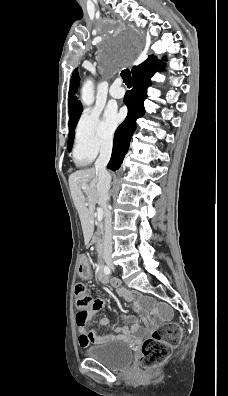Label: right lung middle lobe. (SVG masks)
<instances>
[{
  "label": "right lung middle lobe",
  "instance_id": "1",
  "mask_svg": "<svg viewBox=\"0 0 228 396\" xmlns=\"http://www.w3.org/2000/svg\"><path fill=\"white\" fill-rule=\"evenodd\" d=\"M81 112L80 111H76L73 114H69L70 115V120H69V136H68V150L70 151L72 148V144H73V140H74V129L75 126L78 122V119L80 117Z\"/></svg>",
  "mask_w": 228,
  "mask_h": 396
}]
</instances>
